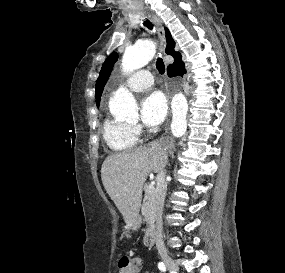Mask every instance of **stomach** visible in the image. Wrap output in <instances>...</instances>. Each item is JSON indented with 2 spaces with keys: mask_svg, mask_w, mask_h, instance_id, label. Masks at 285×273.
<instances>
[{
  "mask_svg": "<svg viewBox=\"0 0 285 273\" xmlns=\"http://www.w3.org/2000/svg\"><path fill=\"white\" fill-rule=\"evenodd\" d=\"M140 224V220L137 219L136 221H134L133 223L131 224H127L126 228L127 229H136Z\"/></svg>",
  "mask_w": 285,
  "mask_h": 273,
  "instance_id": "0dacf381",
  "label": "stomach"
}]
</instances>
